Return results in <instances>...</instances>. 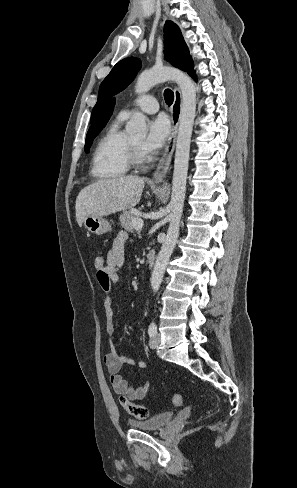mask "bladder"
Returning a JSON list of instances; mask_svg holds the SVG:
<instances>
[{
  "mask_svg": "<svg viewBox=\"0 0 297 488\" xmlns=\"http://www.w3.org/2000/svg\"><path fill=\"white\" fill-rule=\"evenodd\" d=\"M173 418V412L167 411L156 414L146 420H128L129 427L142 431H157L168 425Z\"/></svg>",
  "mask_w": 297,
  "mask_h": 488,
  "instance_id": "31cf9c89",
  "label": "bladder"
}]
</instances>
